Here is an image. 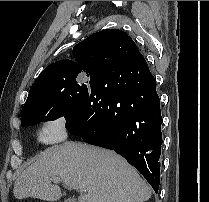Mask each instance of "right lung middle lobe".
Here are the masks:
<instances>
[{"label":"right lung middle lobe","mask_w":209,"mask_h":202,"mask_svg":"<svg viewBox=\"0 0 209 202\" xmlns=\"http://www.w3.org/2000/svg\"><path fill=\"white\" fill-rule=\"evenodd\" d=\"M79 74L50 78L33 96L38 104L21 113L27 125H36L41 121L55 120L64 116L66 121L80 113L83 104L94 89L97 79L90 77L85 83L77 82Z\"/></svg>","instance_id":"1"}]
</instances>
